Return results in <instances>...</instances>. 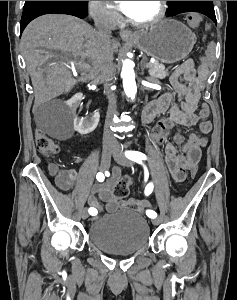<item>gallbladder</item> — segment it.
Segmentation results:
<instances>
[{"instance_id": "bac80fb5", "label": "gallbladder", "mask_w": 237, "mask_h": 300, "mask_svg": "<svg viewBox=\"0 0 237 300\" xmlns=\"http://www.w3.org/2000/svg\"><path fill=\"white\" fill-rule=\"evenodd\" d=\"M64 81L66 82V83H69L70 81H71V78L69 77V76H66L65 78H64ZM69 86V85H68ZM61 92L63 93V94H67L68 92H69V89L67 88V87H63L62 89H61Z\"/></svg>"}]
</instances>
